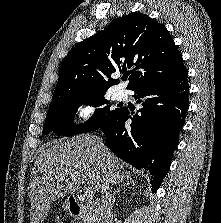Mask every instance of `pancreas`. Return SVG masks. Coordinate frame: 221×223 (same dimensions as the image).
Listing matches in <instances>:
<instances>
[{"label":"pancreas","mask_w":221,"mask_h":223,"mask_svg":"<svg viewBox=\"0 0 221 223\" xmlns=\"http://www.w3.org/2000/svg\"><path fill=\"white\" fill-rule=\"evenodd\" d=\"M97 219L94 214L86 213L83 218V223H96Z\"/></svg>","instance_id":"pancreas-1"}]
</instances>
